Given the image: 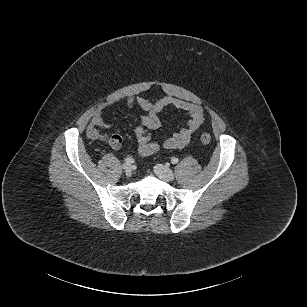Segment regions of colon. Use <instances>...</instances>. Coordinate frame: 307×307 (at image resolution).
Segmentation results:
<instances>
[{
	"label": "colon",
	"instance_id": "5ec220e1",
	"mask_svg": "<svg viewBox=\"0 0 307 307\" xmlns=\"http://www.w3.org/2000/svg\"><path fill=\"white\" fill-rule=\"evenodd\" d=\"M211 139V135L208 132H202L200 135V140L204 144H209ZM108 141L113 148H118L122 143V137L119 134H113L109 137Z\"/></svg>",
	"mask_w": 307,
	"mask_h": 307
}]
</instances>
